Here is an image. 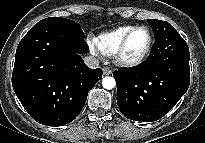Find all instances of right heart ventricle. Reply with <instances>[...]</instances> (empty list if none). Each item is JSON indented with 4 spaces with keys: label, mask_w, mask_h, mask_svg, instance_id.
<instances>
[{
    "label": "right heart ventricle",
    "mask_w": 205,
    "mask_h": 143,
    "mask_svg": "<svg viewBox=\"0 0 205 143\" xmlns=\"http://www.w3.org/2000/svg\"><path fill=\"white\" fill-rule=\"evenodd\" d=\"M133 27L132 25L119 26L100 34L94 40L98 50L104 55H113L124 35Z\"/></svg>",
    "instance_id": "1"
}]
</instances>
